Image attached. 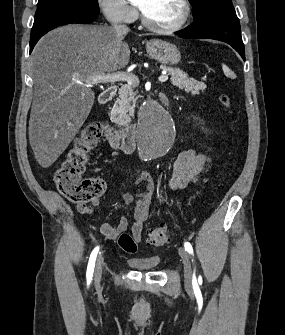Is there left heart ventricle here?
Segmentation results:
<instances>
[{
    "mask_svg": "<svg viewBox=\"0 0 285 335\" xmlns=\"http://www.w3.org/2000/svg\"><path fill=\"white\" fill-rule=\"evenodd\" d=\"M141 7L146 18L156 27H172L184 14L177 1H144Z\"/></svg>",
    "mask_w": 285,
    "mask_h": 335,
    "instance_id": "obj_1",
    "label": "left heart ventricle"
}]
</instances>
